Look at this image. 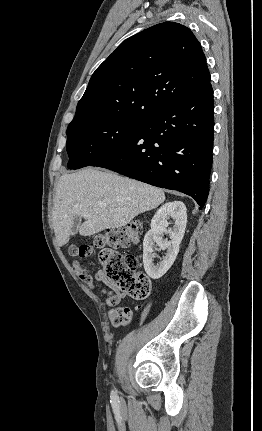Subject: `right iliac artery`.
<instances>
[{"instance_id": "82829eb1", "label": "right iliac artery", "mask_w": 262, "mask_h": 431, "mask_svg": "<svg viewBox=\"0 0 262 431\" xmlns=\"http://www.w3.org/2000/svg\"><path fill=\"white\" fill-rule=\"evenodd\" d=\"M111 399L112 400H117L118 399V396H117V394L114 391H112V393H111Z\"/></svg>"}]
</instances>
